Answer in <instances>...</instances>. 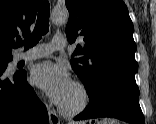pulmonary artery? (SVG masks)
Returning <instances> with one entry per match:
<instances>
[{"instance_id":"obj_1","label":"pulmonary artery","mask_w":156,"mask_h":124,"mask_svg":"<svg viewBox=\"0 0 156 124\" xmlns=\"http://www.w3.org/2000/svg\"><path fill=\"white\" fill-rule=\"evenodd\" d=\"M65 46H66V38L63 35H56L53 37L50 43L40 44L25 53H21L18 56V60L29 61L45 57L54 51L63 49Z\"/></svg>"}]
</instances>
